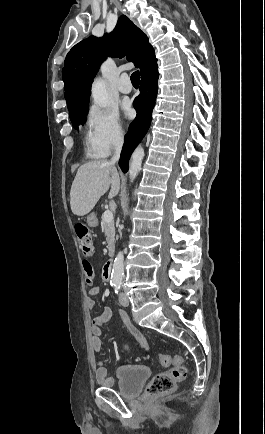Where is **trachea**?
<instances>
[{"label": "trachea", "instance_id": "3493384b", "mask_svg": "<svg viewBox=\"0 0 265 434\" xmlns=\"http://www.w3.org/2000/svg\"><path fill=\"white\" fill-rule=\"evenodd\" d=\"M131 82L132 84H139L140 82V76L138 70L136 72H133L131 75Z\"/></svg>", "mask_w": 265, "mask_h": 434}]
</instances>
